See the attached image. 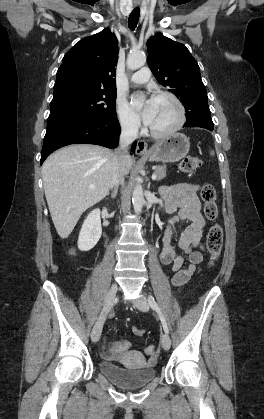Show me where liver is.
<instances>
[{
    "mask_svg": "<svg viewBox=\"0 0 264 419\" xmlns=\"http://www.w3.org/2000/svg\"><path fill=\"white\" fill-rule=\"evenodd\" d=\"M113 155L101 146L73 144L54 152L43 163L45 196L61 238H67L82 213L109 193ZM122 164L128 174L133 157L127 153Z\"/></svg>",
    "mask_w": 264,
    "mask_h": 419,
    "instance_id": "liver-1",
    "label": "liver"
}]
</instances>
